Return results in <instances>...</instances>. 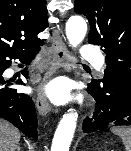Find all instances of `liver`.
<instances>
[{
	"label": "liver",
	"mask_w": 131,
	"mask_h": 151,
	"mask_svg": "<svg viewBox=\"0 0 131 151\" xmlns=\"http://www.w3.org/2000/svg\"><path fill=\"white\" fill-rule=\"evenodd\" d=\"M20 141V132L11 124L0 120V151H15Z\"/></svg>",
	"instance_id": "6515ba94"
}]
</instances>
